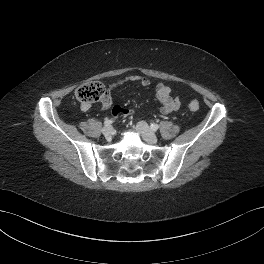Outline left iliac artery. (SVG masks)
<instances>
[{
    "instance_id": "left-iliac-artery-1",
    "label": "left iliac artery",
    "mask_w": 264,
    "mask_h": 264,
    "mask_svg": "<svg viewBox=\"0 0 264 264\" xmlns=\"http://www.w3.org/2000/svg\"><path fill=\"white\" fill-rule=\"evenodd\" d=\"M158 128H159L158 124H151V130L152 131H156V130H158Z\"/></svg>"
}]
</instances>
